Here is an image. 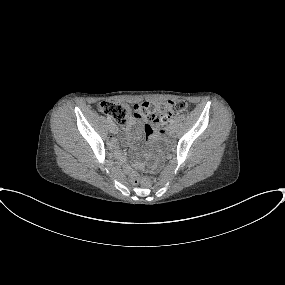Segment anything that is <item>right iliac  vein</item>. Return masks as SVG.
I'll return each instance as SVG.
<instances>
[{
  "instance_id": "obj_1",
  "label": "right iliac vein",
  "mask_w": 285,
  "mask_h": 285,
  "mask_svg": "<svg viewBox=\"0 0 285 285\" xmlns=\"http://www.w3.org/2000/svg\"><path fill=\"white\" fill-rule=\"evenodd\" d=\"M117 130H118L117 126H116L113 122H110V123H109V131H110L111 133H116Z\"/></svg>"
}]
</instances>
